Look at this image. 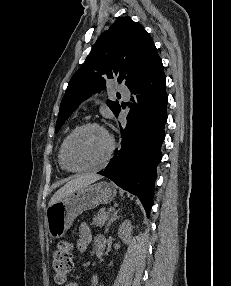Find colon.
Here are the masks:
<instances>
[{"instance_id": "obj_1", "label": "colon", "mask_w": 231, "mask_h": 286, "mask_svg": "<svg viewBox=\"0 0 231 286\" xmlns=\"http://www.w3.org/2000/svg\"><path fill=\"white\" fill-rule=\"evenodd\" d=\"M73 268V245L61 241L53 255V270L56 283L64 284Z\"/></svg>"}]
</instances>
